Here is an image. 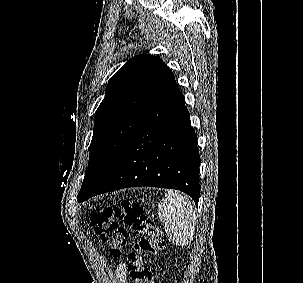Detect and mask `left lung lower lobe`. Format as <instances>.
Listing matches in <instances>:
<instances>
[{
  "label": "left lung lower lobe",
  "instance_id": "left-lung-lower-lobe-1",
  "mask_svg": "<svg viewBox=\"0 0 303 283\" xmlns=\"http://www.w3.org/2000/svg\"><path fill=\"white\" fill-rule=\"evenodd\" d=\"M200 156L197 136L181 91L170 71L107 180L78 194L83 202L109 191L135 186L181 190L198 204Z\"/></svg>",
  "mask_w": 303,
  "mask_h": 283
}]
</instances>
